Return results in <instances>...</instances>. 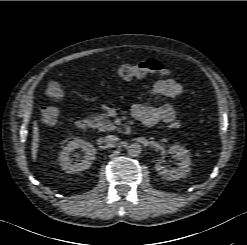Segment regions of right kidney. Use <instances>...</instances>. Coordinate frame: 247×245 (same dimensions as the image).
Here are the masks:
<instances>
[{"label": "right kidney", "mask_w": 247, "mask_h": 245, "mask_svg": "<svg viewBox=\"0 0 247 245\" xmlns=\"http://www.w3.org/2000/svg\"><path fill=\"white\" fill-rule=\"evenodd\" d=\"M78 148H81L85 152V155L80 163L73 164L70 160V155L72 151ZM95 154L96 149L91 143L80 138H75L64 147L63 151L60 153L59 162L65 172L76 173L88 169L95 159Z\"/></svg>", "instance_id": "1"}]
</instances>
